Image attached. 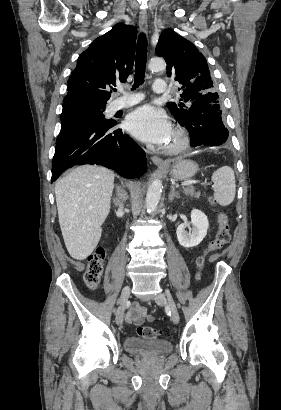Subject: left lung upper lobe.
<instances>
[{
	"mask_svg": "<svg viewBox=\"0 0 281 410\" xmlns=\"http://www.w3.org/2000/svg\"><path fill=\"white\" fill-rule=\"evenodd\" d=\"M156 54L166 60L167 76L182 85L179 102L167 103L179 124L186 119L192 103L219 101L207 61L193 43L166 29L159 37Z\"/></svg>",
	"mask_w": 281,
	"mask_h": 410,
	"instance_id": "1",
	"label": "left lung upper lobe"
}]
</instances>
